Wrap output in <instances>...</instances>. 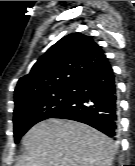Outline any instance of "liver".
Returning <instances> with one entry per match:
<instances>
[{"label":"liver","mask_w":135,"mask_h":166,"mask_svg":"<svg viewBox=\"0 0 135 166\" xmlns=\"http://www.w3.org/2000/svg\"><path fill=\"white\" fill-rule=\"evenodd\" d=\"M26 149L15 166H111L112 139L76 121L47 119L23 137Z\"/></svg>","instance_id":"liver-1"}]
</instances>
